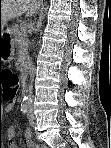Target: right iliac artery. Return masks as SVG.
Listing matches in <instances>:
<instances>
[{
	"label": "right iliac artery",
	"mask_w": 111,
	"mask_h": 148,
	"mask_svg": "<svg viewBox=\"0 0 111 148\" xmlns=\"http://www.w3.org/2000/svg\"><path fill=\"white\" fill-rule=\"evenodd\" d=\"M29 107H30V105H29L28 102H23V103L21 104V111L25 114V113L28 112Z\"/></svg>",
	"instance_id": "right-iliac-artery-1"
}]
</instances>
